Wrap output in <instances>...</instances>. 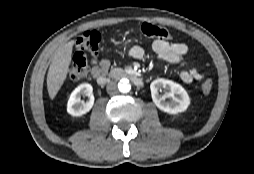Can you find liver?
<instances>
[{"instance_id": "1", "label": "liver", "mask_w": 254, "mask_h": 174, "mask_svg": "<svg viewBox=\"0 0 254 174\" xmlns=\"http://www.w3.org/2000/svg\"><path fill=\"white\" fill-rule=\"evenodd\" d=\"M74 40L62 45L56 51L47 74V90L51 99H54L67 78L71 63Z\"/></svg>"}]
</instances>
